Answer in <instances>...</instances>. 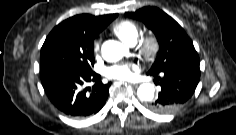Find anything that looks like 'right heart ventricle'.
<instances>
[{
	"label": "right heart ventricle",
	"instance_id": "obj_1",
	"mask_svg": "<svg viewBox=\"0 0 236 135\" xmlns=\"http://www.w3.org/2000/svg\"><path fill=\"white\" fill-rule=\"evenodd\" d=\"M111 31L128 45H134L140 36V27L134 21L128 19L115 23Z\"/></svg>",
	"mask_w": 236,
	"mask_h": 135
}]
</instances>
